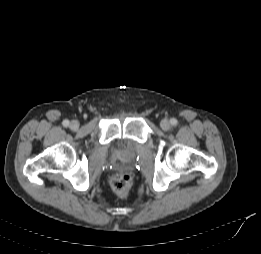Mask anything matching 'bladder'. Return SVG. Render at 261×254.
Returning a JSON list of instances; mask_svg holds the SVG:
<instances>
[{
	"mask_svg": "<svg viewBox=\"0 0 261 254\" xmlns=\"http://www.w3.org/2000/svg\"><path fill=\"white\" fill-rule=\"evenodd\" d=\"M118 155L126 160H130L133 158L135 155V149L132 145L130 144H124L121 147L118 148L117 150Z\"/></svg>",
	"mask_w": 261,
	"mask_h": 254,
	"instance_id": "1",
	"label": "bladder"
}]
</instances>
